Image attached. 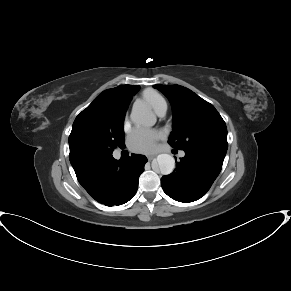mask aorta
Returning a JSON list of instances; mask_svg holds the SVG:
<instances>
[{
	"mask_svg": "<svg viewBox=\"0 0 291 291\" xmlns=\"http://www.w3.org/2000/svg\"><path fill=\"white\" fill-rule=\"evenodd\" d=\"M131 120L136 125L151 127L156 123V116L145 103L134 104ZM157 166L163 175L171 174L175 167V160L169 154H159L156 158Z\"/></svg>",
	"mask_w": 291,
	"mask_h": 291,
	"instance_id": "obj_1",
	"label": "aorta"
}]
</instances>
